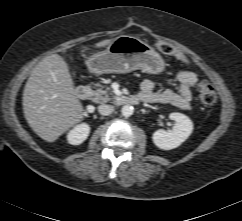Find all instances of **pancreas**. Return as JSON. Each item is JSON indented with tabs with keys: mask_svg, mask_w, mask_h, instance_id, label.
<instances>
[{
	"mask_svg": "<svg viewBox=\"0 0 242 221\" xmlns=\"http://www.w3.org/2000/svg\"><path fill=\"white\" fill-rule=\"evenodd\" d=\"M97 87H101L100 84H95ZM112 95V97H110ZM92 101L95 103H106L108 101H113L116 102L119 97L115 96L112 91H110L109 87H106L105 89L103 88H97L92 92Z\"/></svg>",
	"mask_w": 242,
	"mask_h": 221,
	"instance_id": "pancreas-1",
	"label": "pancreas"
}]
</instances>
